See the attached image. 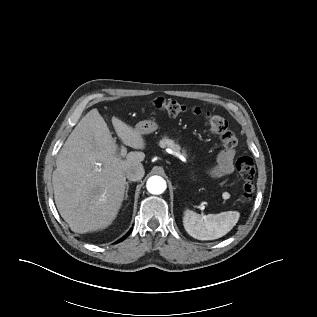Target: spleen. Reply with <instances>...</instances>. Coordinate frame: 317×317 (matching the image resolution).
<instances>
[{
    "label": "spleen",
    "mask_w": 317,
    "mask_h": 317,
    "mask_svg": "<svg viewBox=\"0 0 317 317\" xmlns=\"http://www.w3.org/2000/svg\"><path fill=\"white\" fill-rule=\"evenodd\" d=\"M238 211H225L218 214L200 215L186 209L183 225L187 233L199 240H214L226 235L238 222Z\"/></svg>",
    "instance_id": "1"
}]
</instances>
